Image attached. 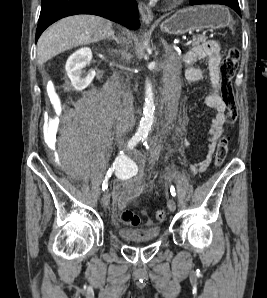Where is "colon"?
Masks as SVG:
<instances>
[{
    "label": "colon",
    "instance_id": "1",
    "mask_svg": "<svg viewBox=\"0 0 267 298\" xmlns=\"http://www.w3.org/2000/svg\"><path fill=\"white\" fill-rule=\"evenodd\" d=\"M240 53L237 48H230L221 64L220 76H221V97L227 107L228 121L232 123L236 118V102L235 93L233 89V78L235 76ZM228 153V139L223 136L217 144L214 163L215 166H221L226 159ZM157 221H163L166 218V212L164 209H159L155 213ZM121 220L130 226H138L140 224V218L133 211L125 209L121 213Z\"/></svg>",
    "mask_w": 267,
    "mask_h": 298
}]
</instances>
